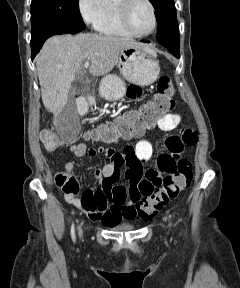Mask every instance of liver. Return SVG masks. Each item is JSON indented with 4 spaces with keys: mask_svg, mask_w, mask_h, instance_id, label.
I'll return each mask as SVG.
<instances>
[{
    "mask_svg": "<svg viewBox=\"0 0 240 288\" xmlns=\"http://www.w3.org/2000/svg\"><path fill=\"white\" fill-rule=\"evenodd\" d=\"M127 47L150 49L124 37L94 33L49 38L36 57L44 106L55 115L60 114L68 103L69 91L76 92L72 83L81 81L82 64L89 61V72L94 76L106 75L117 64L120 51Z\"/></svg>",
    "mask_w": 240,
    "mask_h": 288,
    "instance_id": "6515ba94",
    "label": "liver"
}]
</instances>
